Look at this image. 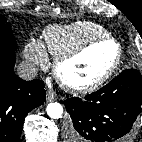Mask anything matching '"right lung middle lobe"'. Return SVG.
<instances>
[{
	"label": "right lung middle lobe",
	"mask_w": 142,
	"mask_h": 142,
	"mask_svg": "<svg viewBox=\"0 0 142 142\" xmlns=\"http://www.w3.org/2000/svg\"><path fill=\"white\" fill-rule=\"evenodd\" d=\"M17 43L11 30L10 22L0 14V54L15 56Z\"/></svg>",
	"instance_id": "right-lung-middle-lobe-1"
}]
</instances>
